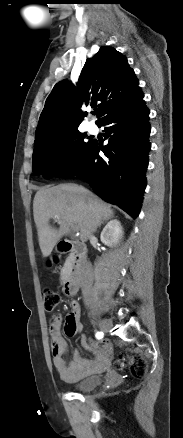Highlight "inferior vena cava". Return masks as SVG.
Returning <instances> with one entry per match:
<instances>
[{"label":"inferior vena cava","instance_id":"1","mask_svg":"<svg viewBox=\"0 0 183 438\" xmlns=\"http://www.w3.org/2000/svg\"><path fill=\"white\" fill-rule=\"evenodd\" d=\"M93 283V272L92 267L89 262H86L84 264V280H83V296H84V302L88 305L91 302L90 299V290Z\"/></svg>","mask_w":183,"mask_h":438}]
</instances>
